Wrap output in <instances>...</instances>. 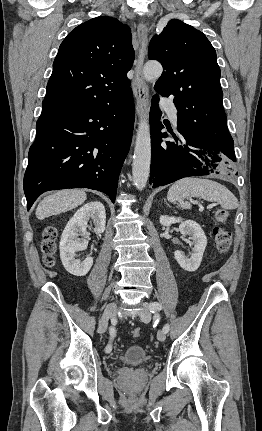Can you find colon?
Segmentation results:
<instances>
[{"instance_id":"1","label":"colon","mask_w":262,"mask_h":431,"mask_svg":"<svg viewBox=\"0 0 262 431\" xmlns=\"http://www.w3.org/2000/svg\"><path fill=\"white\" fill-rule=\"evenodd\" d=\"M216 219L219 223L214 228L215 247L219 253H227L231 248L232 236L231 232L222 225L230 218V213L223 208H218L215 212ZM57 230L53 226L47 227L43 232L41 241V249L44 254V263L51 267L55 264V249H56ZM141 334L140 328H135L132 331L134 337H139Z\"/></svg>"}]
</instances>
